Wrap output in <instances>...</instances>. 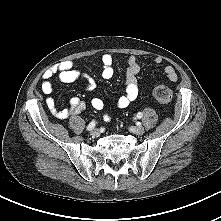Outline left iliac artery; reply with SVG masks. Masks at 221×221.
<instances>
[{"mask_svg":"<svg viewBox=\"0 0 221 221\" xmlns=\"http://www.w3.org/2000/svg\"><path fill=\"white\" fill-rule=\"evenodd\" d=\"M143 116V114L141 113V112H139L138 114H137V118H141Z\"/></svg>","mask_w":221,"mask_h":221,"instance_id":"obj_1","label":"left iliac artery"}]
</instances>
